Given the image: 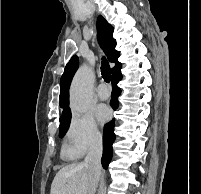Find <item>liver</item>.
Returning <instances> with one entry per match:
<instances>
[{
    "mask_svg": "<svg viewBox=\"0 0 201 194\" xmlns=\"http://www.w3.org/2000/svg\"><path fill=\"white\" fill-rule=\"evenodd\" d=\"M90 172L85 163L62 167L55 175L50 194H88Z\"/></svg>",
    "mask_w": 201,
    "mask_h": 194,
    "instance_id": "1",
    "label": "liver"
}]
</instances>
